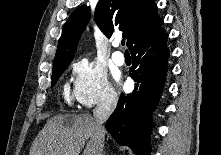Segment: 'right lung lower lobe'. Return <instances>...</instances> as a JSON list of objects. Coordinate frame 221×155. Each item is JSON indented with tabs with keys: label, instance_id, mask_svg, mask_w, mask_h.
I'll return each instance as SVG.
<instances>
[{
	"label": "right lung lower lobe",
	"instance_id": "obj_1",
	"mask_svg": "<svg viewBox=\"0 0 221 155\" xmlns=\"http://www.w3.org/2000/svg\"><path fill=\"white\" fill-rule=\"evenodd\" d=\"M161 25L140 36L129 49L133 59L129 72L135 89L129 95L121 94L106 123L116 142L130 147L136 155H150V113L166 77L168 35Z\"/></svg>",
	"mask_w": 221,
	"mask_h": 155
}]
</instances>
